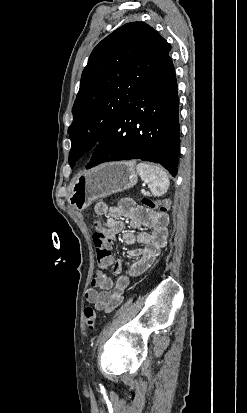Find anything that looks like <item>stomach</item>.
<instances>
[{
  "label": "stomach",
  "instance_id": "stomach-1",
  "mask_svg": "<svg viewBox=\"0 0 247 413\" xmlns=\"http://www.w3.org/2000/svg\"><path fill=\"white\" fill-rule=\"evenodd\" d=\"M138 174L139 170H136L133 160L103 162L74 176L70 182L68 202L74 209L83 211L96 198L134 186Z\"/></svg>",
  "mask_w": 247,
  "mask_h": 413
}]
</instances>
